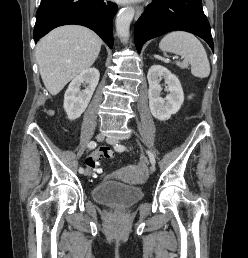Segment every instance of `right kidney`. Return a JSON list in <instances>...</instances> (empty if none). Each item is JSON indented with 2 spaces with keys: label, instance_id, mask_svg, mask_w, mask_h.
Here are the masks:
<instances>
[{
  "label": "right kidney",
  "instance_id": "ca27d5eb",
  "mask_svg": "<svg viewBox=\"0 0 248 258\" xmlns=\"http://www.w3.org/2000/svg\"><path fill=\"white\" fill-rule=\"evenodd\" d=\"M100 73L96 68H88L76 76L69 84L64 95V109L68 119L75 120L86 110L95 88L99 82ZM87 85L81 91V84Z\"/></svg>",
  "mask_w": 248,
  "mask_h": 258
}]
</instances>
